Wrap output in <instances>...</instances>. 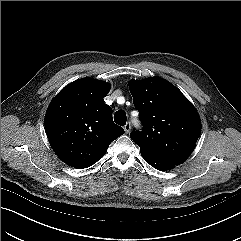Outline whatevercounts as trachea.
<instances>
[{"label":"trachea","mask_w":241,"mask_h":241,"mask_svg":"<svg viewBox=\"0 0 241 241\" xmlns=\"http://www.w3.org/2000/svg\"><path fill=\"white\" fill-rule=\"evenodd\" d=\"M126 113L123 110H119L114 114V121L120 126H124L126 124Z\"/></svg>","instance_id":"obj_1"}]
</instances>
